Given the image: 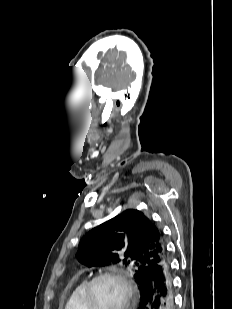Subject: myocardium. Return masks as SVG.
Returning <instances> with one entry per match:
<instances>
[{"label":"myocardium","instance_id":"myocardium-1","mask_svg":"<svg viewBox=\"0 0 232 309\" xmlns=\"http://www.w3.org/2000/svg\"><path fill=\"white\" fill-rule=\"evenodd\" d=\"M105 278L114 279L119 284H121L123 287L124 298L123 303L119 309H129L134 297V288L127 276L118 269H108L101 271L87 281L82 297L85 309H95L92 299L93 288L99 280Z\"/></svg>","mask_w":232,"mask_h":309}]
</instances>
